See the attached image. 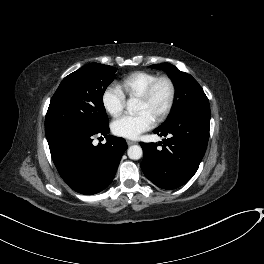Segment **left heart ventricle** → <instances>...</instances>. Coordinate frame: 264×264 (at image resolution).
Wrapping results in <instances>:
<instances>
[{
    "mask_svg": "<svg viewBox=\"0 0 264 264\" xmlns=\"http://www.w3.org/2000/svg\"><path fill=\"white\" fill-rule=\"evenodd\" d=\"M169 97V86L166 82L157 85L152 98L149 101L139 100L137 112H147L155 119L164 109Z\"/></svg>",
    "mask_w": 264,
    "mask_h": 264,
    "instance_id": "b2bd125f",
    "label": "left heart ventricle"
}]
</instances>
